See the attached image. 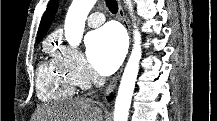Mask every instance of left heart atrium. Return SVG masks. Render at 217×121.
Instances as JSON below:
<instances>
[{"mask_svg":"<svg viewBox=\"0 0 217 121\" xmlns=\"http://www.w3.org/2000/svg\"><path fill=\"white\" fill-rule=\"evenodd\" d=\"M85 44L89 62L94 70L103 76L116 70L126 52L124 33L115 24H107L89 33Z\"/></svg>","mask_w":217,"mask_h":121,"instance_id":"obj_1","label":"left heart atrium"}]
</instances>
